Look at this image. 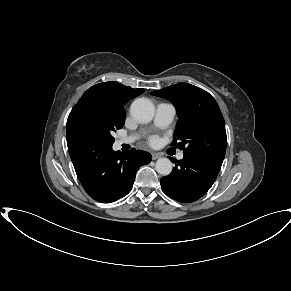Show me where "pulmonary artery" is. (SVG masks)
I'll list each match as a JSON object with an SVG mask.
<instances>
[{"mask_svg":"<svg viewBox=\"0 0 291 291\" xmlns=\"http://www.w3.org/2000/svg\"><path fill=\"white\" fill-rule=\"evenodd\" d=\"M176 114V109L171 103H159L156 107V115L154 119V123L157 127H166L169 125ZM138 138V135H132L127 138H122L118 141L119 144L123 143H131L134 142ZM178 159H183V153L178 154Z\"/></svg>","mask_w":291,"mask_h":291,"instance_id":"pulmonary-artery-1","label":"pulmonary artery"}]
</instances>
